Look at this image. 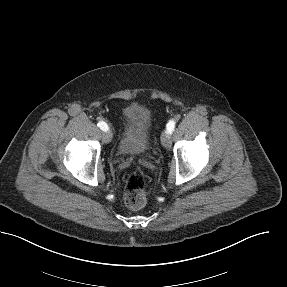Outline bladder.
I'll return each mask as SVG.
<instances>
[{"instance_id": "bladder-1", "label": "bladder", "mask_w": 287, "mask_h": 287, "mask_svg": "<svg viewBox=\"0 0 287 287\" xmlns=\"http://www.w3.org/2000/svg\"><path fill=\"white\" fill-rule=\"evenodd\" d=\"M123 131L118 142V152L123 155H141L151 146V117L140 106L123 109Z\"/></svg>"}]
</instances>
